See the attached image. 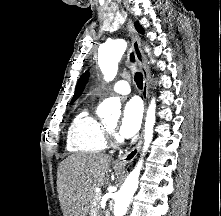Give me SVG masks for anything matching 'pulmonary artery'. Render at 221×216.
I'll list each match as a JSON object with an SVG mask.
<instances>
[{"mask_svg": "<svg viewBox=\"0 0 221 216\" xmlns=\"http://www.w3.org/2000/svg\"><path fill=\"white\" fill-rule=\"evenodd\" d=\"M111 90L115 93L122 94V95L129 94L130 93V85H129L128 80L122 79V80L116 81L112 85Z\"/></svg>", "mask_w": 221, "mask_h": 216, "instance_id": "1", "label": "pulmonary artery"}]
</instances>
